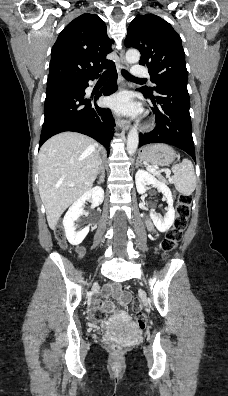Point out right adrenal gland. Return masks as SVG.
<instances>
[{
	"label": "right adrenal gland",
	"instance_id": "obj_1",
	"mask_svg": "<svg viewBox=\"0 0 228 396\" xmlns=\"http://www.w3.org/2000/svg\"><path fill=\"white\" fill-rule=\"evenodd\" d=\"M104 179H105V168L102 166V174H101V176H100V178L98 180V183L99 184L103 183Z\"/></svg>",
	"mask_w": 228,
	"mask_h": 396
}]
</instances>
